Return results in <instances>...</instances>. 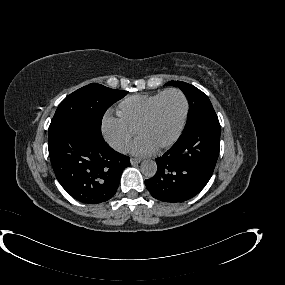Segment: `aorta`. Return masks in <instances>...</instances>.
I'll return each mask as SVG.
<instances>
[{"label":"aorta","instance_id":"762f6f07","mask_svg":"<svg viewBox=\"0 0 285 285\" xmlns=\"http://www.w3.org/2000/svg\"><path fill=\"white\" fill-rule=\"evenodd\" d=\"M140 170L146 177H153L157 172V164L154 160H144L140 165Z\"/></svg>","mask_w":285,"mask_h":285}]
</instances>
